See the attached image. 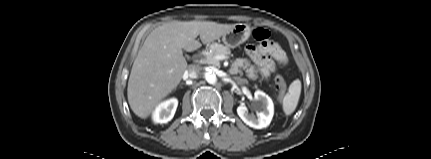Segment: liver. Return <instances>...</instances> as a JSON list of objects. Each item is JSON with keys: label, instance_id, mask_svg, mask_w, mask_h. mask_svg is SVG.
Segmentation results:
<instances>
[{"label": "liver", "instance_id": "obj_1", "mask_svg": "<svg viewBox=\"0 0 431 159\" xmlns=\"http://www.w3.org/2000/svg\"><path fill=\"white\" fill-rule=\"evenodd\" d=\"M235 24L212 21H171L155 28L145 39L133 63L127 96L132 111L147 118L180 83L188 68L182 49L200 48L196 40L210 44Z\"/></svg>", "mask_w": 431, "mask_h": 159}]
</instances>
